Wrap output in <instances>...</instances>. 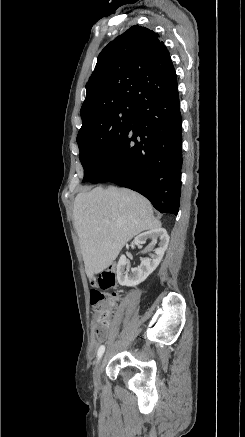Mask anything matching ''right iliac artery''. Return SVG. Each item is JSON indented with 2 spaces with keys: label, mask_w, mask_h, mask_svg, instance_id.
<instances>
[{
  "label": "right iliac artery",
  "mask_w": 245,
  "mask_h": 437,
  "mask_svg": "<svg viewBox=\"0 0 245 437\" xmlns=\"http://www.w3.org/2000/svg\"><path fill=\"white\" fill-rule=\"evenodd\" d=\"M104 351H105V346H104V345H101V346L99 347V349H98V353H97V357H98V359L101 358V356L103 355Z\"/></svg>",
  "instance_id": "right-iliac-artery-1"
}]
</instances>
